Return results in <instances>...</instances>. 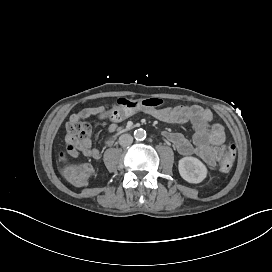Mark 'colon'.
Masks as SVG:
<instances>
[{"label":"colon","instance_id":"colon-1","mask_svg":"<svg viewBox=\"0 0 272 272\" xmlns=\"http://www.w3.org/2000/svg\"><path fill=\"white\" fill-rule=\"evenodd\" d=\"M163 99L159 97L120 99L115 108L110 112L112 121L125 120L132 112L140 109H152L162 106ZM94 109L92 107L83 108L68 116L69 123L66 126V144L60 152L62 159L79 156L78 149H90L94 145V140L89 136L91 127L88 123L82 121L85 117L92 116ZM78 148V149H77ZM236 145L228 141L217 153L220 171L231 169L235 159ZM59 170L66 174L77 184H82L90 172V166L86 162H80L78 165L63 161L59 165Z\"/></svg>","mask_w":272,"mask_h":272}]
</instances>
